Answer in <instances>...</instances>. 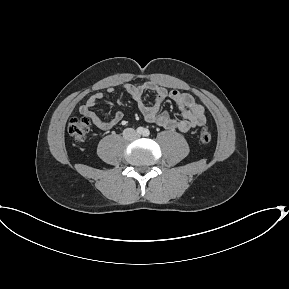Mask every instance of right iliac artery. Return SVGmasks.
<instances>
[{
	"mask_svg": "<svg viewBox=\"0 0 289 289\" xmlns=\"http://www.w3.org/2000/svg\"><path fill=\"white\" fill-rule=\"evenodd\" d=\"M143 132H144V128H142V127H138L137 128V133L138 134H143Z\"/></svg>",
	"mask_w": 289,
	"mask_h": 289,
	"instance_id": "right-iliac-artery-1",
	"label": "right iliac artery"
}]
</instances>
